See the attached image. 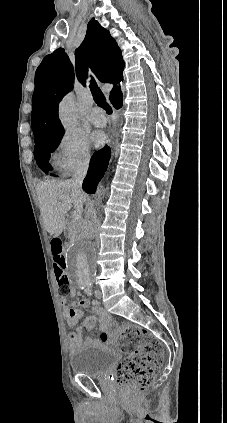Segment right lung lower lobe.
<instances>
[{"label": "right lung lower lobe", "mask_w": 227, "mask_h": 423, "mask_svg": "<svg viewBox=\"0 0 227 423\" xmlns=\"http://www.w3.org/2000/svg\"><path fill=\"white\" fill-rule=\"evenodd\" d=\"M116 109L122 106V102L113 105ZM110 149L108 146L94 153L90 161L88 174L83 181V189L85 192L92 194L96 191V187L100 179L103 177L110 159Z\"/></svg>", "instance_id": "98d812e1"}]
</instances>
